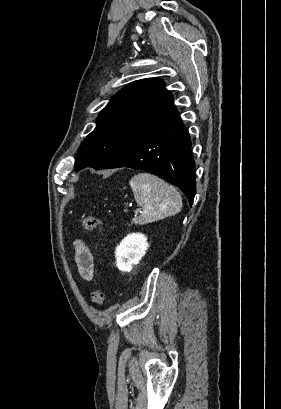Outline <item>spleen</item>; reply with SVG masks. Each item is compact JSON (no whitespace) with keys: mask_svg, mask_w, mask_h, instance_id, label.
Wrapping results in <instances>:
<instances>
[{"mask_svg":"<svg viewBox=\"0 0 281 409\" xmlns=\"http://www.w3.org/2000/svg\"><path fill=\"white\" fill-rule=\"evenodd\" d=\"M129 184L133 190L134 198L144 213L133 219L136 225L154 223L165 217H174L182 209L181 194L176 188L149 172H139L132 176Z\"/></svg>","mask_w":281,"mask_h":409,"instance_id":"spleen-1","label":"spleen"}]
</instances>
